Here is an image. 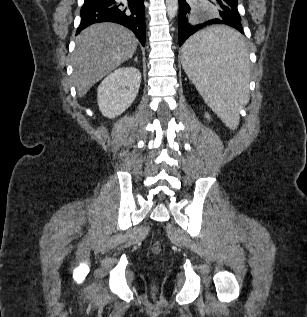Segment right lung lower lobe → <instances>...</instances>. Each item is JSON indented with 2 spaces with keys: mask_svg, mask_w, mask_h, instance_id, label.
<instances>
[{
  "mask_svg": "<svg viewBox=\"0 0 307 317\" xmlns=\"http://www.w3.org/2000/svg\"><path fill=\"white\" fill-rule=\"evenodd\" d=\"M76 34L91 24L115 22L129 28L145 46L144 0H85Z\"/></svg>",
  "mask_w": 307,
  "mask_h": 317,
  "instance_id": "obj_1",
  "label": "right lung lower lobe"
}]
</instances>
